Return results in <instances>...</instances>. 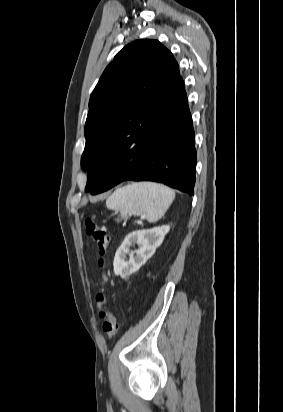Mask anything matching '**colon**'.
<instances>
[{
    "instance_id": "1",
    "label": "colon",
    "mask_w": 283,
    "mask_h": 412,
    "mask_svg": "<svg viewBox=\"0 0 283 412\" xmlns=\"http://www.w3.org/2000/svg\"><path fill=\"white\" fill-rule=\"evenodd\" d=\"M85 228L87 234L97 245L99 252V267L104 268V257L111 246V236L109 232L104 227H101L92 217L86 218ZM96 301L102 306V310L100 311V316L104 319L102 329L109 338H113L117 334L118 323L108 305L104 281H101V288L96 296Z\"/></svg>"
}]
</instances>
